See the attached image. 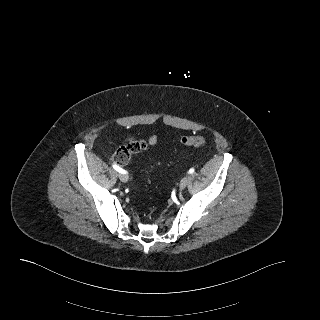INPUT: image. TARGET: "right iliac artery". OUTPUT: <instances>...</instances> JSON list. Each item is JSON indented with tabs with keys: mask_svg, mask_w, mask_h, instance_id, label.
Segmentation results:
<instances>
[{
	"mask_svg": "<svg viewBox=\"0 0 320 320\" xmlns=\"http://www.w3.org/2000/svg\"><path fill=\"white\" fill-rule=\"evenodd\" d=\"M112 166H113V168H114L116 171H118L119 173H125V174H126V171H125L124 169L120 168L118 165L113 164Z\"/></svg>",
	"mask_w": 320,
	"mask_h": 320,
	"instance_id": "obj_1",
	"label": "right iliac artery"
}]
</instances>
